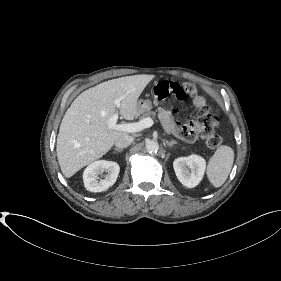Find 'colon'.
Segmentation results:
<instances>
[{
    "label": "colon",
    "instance_id": "1",
    "mask_svg": "<svg viewBox=\"0 0 281 281\" xmlns=\"http://www.w3.org/2000/svg\"><path fill=\"white\" fill-rule=\"evenodd\" d=\"M196 92V86L192 82L160 81L153 87V95L159 100H178L182 101L187 95ZM217 118L210 114L205 108L199 111V124L201 127L200 135L205 138L208 147L215 149L222 143V138L215 132Z\"/></svg>",
    "mask_w": 281,
    "mask_h": 281
}]
</instances>
